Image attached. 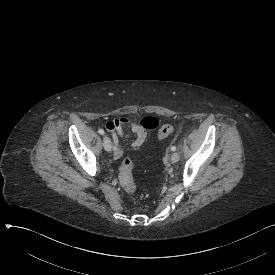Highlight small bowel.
Here are the masks:
<instances>
[{
    "label": "small bowel",
    "mask_w": 275,
    "mask_h": 275,
    "mask_svg": "<svg viewBox=\"0 0 275 275\" xmlns=\"http://www.w3.org/2000/svg\"><path fill=\"white\" fill-rule=\"evenodd\" d=\"M161 125V120L159 118L146 116L140 120L139 125L131 118L123 119H108L104 123V128L106 131L110 132L111 136H114V141L116 142L113 150V157L119 158L122 155V151L117 144L118 138L131 139L133 133L138 135L133 146L140 147L143 145L146 139V131H151L157 129ZM123 128V129H122ZM126 129V130H125ZM128 129V130H127ZM117 136V137H116Z\"/></svg>",
    "instance_id": "small-bowel-1"
}]
</instances>
